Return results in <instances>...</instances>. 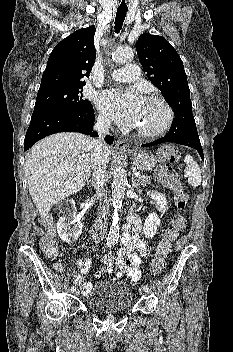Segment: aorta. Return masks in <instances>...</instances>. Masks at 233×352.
<instances>
[{
  "instance_id": "aorta-1",
  "label": "aorta",
  "mask_w": 233,
  "mask_h": 352,
  "mask_svg": "<svg viewBox=\"0 0 233 352\" xmlns=\"http://www.w3.org/2000/svg\"><path fill=\"white\" fill-rule=\"evenodd\" d=\"M133 50L129 47H118L113 53V59L116 63L122 64L133 59ZM127 185L126 171L118 167L114 170L112 181V198L114 207V216L112 225L108 234V242L114 243L119 236L118 210L122 207Z\"/></svg>"
}]
</instances>
